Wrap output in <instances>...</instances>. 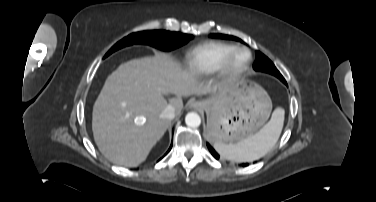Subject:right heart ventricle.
Returning <instances> with one entry per match:
<instances>
[{
  "label": "right heart ventricle",
  "instance_id": "obj_1",
  "mask_svg": "<svg viewBox=\"0 0 376 202\" xmlns=\"http://www.w3.org/2000/svg\"><path fill=\"white\" fill-rule=\"evenodd\" d=\"M236 46L225 42H206L192 48L185 59L188 71L211 74L219 70L224 57Z\"/></svg>",
  "mask_w": 376,
  "mask_h": 202
}]
</instances>
